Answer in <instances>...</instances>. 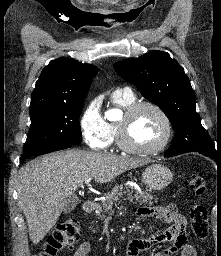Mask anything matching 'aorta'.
<instances>
[{
	"instance_id": "762f6f07",
	"label": "aorta",
	"mask_w": 221,
	"mask_h": 256,
	"mask_svg": "<svg viewBox=\"0 0 221 256\" xmlns=\"http://www.w3.org/2000/svg\"><path fill=\"white\" fill-rule=\"evenodd\" d=\"M117 112H118L117 110L112 109V110H110V111L107 113V116H108V117H113Z\"/></svg>"
}]
</instances>
